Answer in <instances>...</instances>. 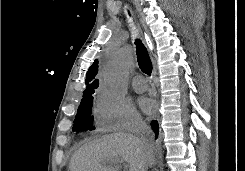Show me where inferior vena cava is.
<instances>
[{"label": "inferior vena cava", "instance_id": "602c4592", "mask_svg": "<svg viewBox=\"0 0 245 171\" xmlns=\"http://www.w3.org/2000/svg\"><path fill=\"white\" fill-rule=\"evenodd\" d=\"M151 132V129L143 122L139 123L136 128L137 136L149 159H151L153 153V137ZM146 169L147 166L142 168L141 171H146Z\"/></svg>", "mask_w": 245, "mask_h": 171}]
</instances>
